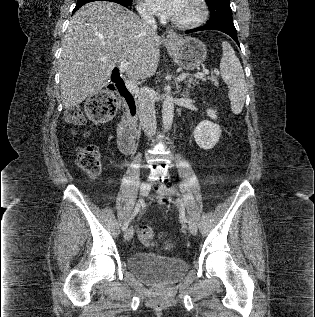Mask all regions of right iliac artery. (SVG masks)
Masks as SVG:
<instances>
[{
	"label": "right iliac artery",
	"mask_w": 315,
	"mask_h": 317,
	"mask_svg": "<svg viewBox=\"0 0 315 317\" xmlns=\"http://www.w3.org/2000/svg\"><path fill=\"white\" fill-rule=\"evenodd\" d=\"M142 202L143 200L140 199L138 201V203L136 204L135 208H134V211L131 215V217L124 223L123 227H122V230L125 231L127 228H128V225L129 223L131 222V220L138 214V212L140 211L141 209V205H142Z\"/></svg>",
	"instance_id": "right-iliac-artery-1"
}]
</instances>
